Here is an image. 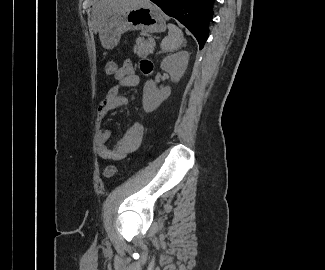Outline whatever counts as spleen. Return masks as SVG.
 Returning a JSON list of instances; mask_svg holds the SVG:
<instances>
[{"label": "spleen", "instance_id": "1", "mask_svg": "<svg viewBox=\"0 0 325 270\" xmlns=\"http://www.w3.org/2000/svg\"><path fill=\"white\" fill-rule=\"evenodd\" d=\"M168 36L161 42V49L163 51L178 50L184 43V36L182 31L173 24H168Z\"/></svg>", "mask_w": 325, "mask_h": 270}]
</instances>
